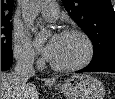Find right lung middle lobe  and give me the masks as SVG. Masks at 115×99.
<instances>
[{
  "mask_svg": "<svg viewBox=\"0 0 115 99\" xmlns=\"http://www.w3.org/2000/svg\"><path fill=\"white\" fill-rule=\"evenodd\" d=\"M12 25L1 24V58L12 57L11 46Z\"/></svg>",
  "mask_w": 115,
  "mask_h": 99,
  "instance_id": "right-lung-middle-lobe-1",
  "label": "right lung middle lobe"
}]
</instances>
